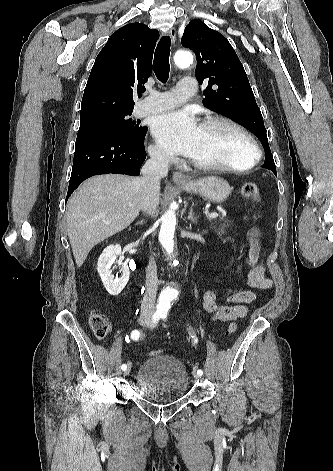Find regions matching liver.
Segmentation results:
<instances>
[{
  "instance_id": "6515ba94",
  "label": "liver",
  "mask_w": 333,
  "mask_h": 471,
  "mask_svg": "<svg viewBox=\"0 0 333 471\" xmlns=\"http://www.w3.org/2000/svg\"><path fill=\"white\" fill-rule=\"evenodd\" d=\"M140 203L139 177L107 174L83 183L70 198L66 213L67 233L78 267L95 245L135 220Z\"/></svg>"
}]
</instances>
